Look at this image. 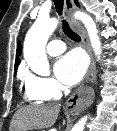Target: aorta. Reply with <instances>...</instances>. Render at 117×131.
<instances>
[{"instance_id": "obj_1", "label": "aorta", "mask_w": 117, "mask_h": 131, "mask_svg": "<svg viewBox=\"0 0 117 131\" xmlns=\"http://www.w3.org/2000/svg\"><path fill=\"white\" fill-rule=\"evenodd\" d=\"M75 18L83 22L87 29L93 51L95 55L100 58L102 53L101 42L94 20L90 15L83 12L75 13ZM57 25L58 20L56 18L38 17L25 37L23 49L24 59L31 70L38 75L48 76L50 74L45 47L48 38L54 32ZM86 121L87 116L81 118L79 122L73 126L72 131H83Z\"/></svg>"}]
</instances>
